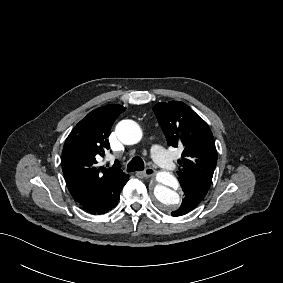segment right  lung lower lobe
Masks as SVG:
<instances>
[{
  "mask_svg": "<svg viewBox=\"0 0 283 283\" xmlns=\"http://www.w3.org/2000/svg\"><path fill=\"white\" fill-rule=\"evenodd\" d=\"M127 181L128 175H125L99 193L88 194L75 202L87 213L105 214L117 205L120 192Z\"/></svg>",
  "mask_w": 283,
  "mask_h": 283,
  "instance_id": "98d812e1",
  "label": "right lung lower lobe"
}]
</instances>
